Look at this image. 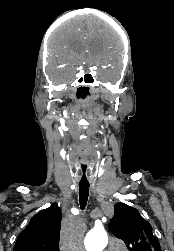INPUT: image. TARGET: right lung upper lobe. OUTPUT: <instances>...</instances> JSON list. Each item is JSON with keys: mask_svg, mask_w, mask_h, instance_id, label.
I'll return each instance as SVG.
<instances>
[{"mask_svg": "<svg viewBox=\"0 0 174 251\" xmlns=\"http://www.w3.org/2000/svg\"><path fill=\"white\" fill-rule=\"evenodd\" d=\"M61 211L52 204L34 215L19 234L13 251H59Z\"/></svg>", "mask_w": 174, "mask_h": 251, "instance_id": "right-lung-upper-lobe-1", "label": "right lung upper lobe"}]
</instances>
